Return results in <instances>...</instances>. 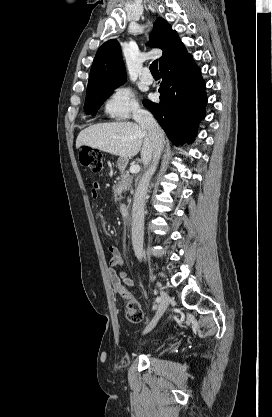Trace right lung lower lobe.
<instances>
[{"mask_svg": "<svg viewBox=\"0 0 272 417\" xmlns=\"http://www.w3.org/2000/svg\"><path fill=\"white\" fill-rule=\"evenodd\" d=\"M160 72V103L143 104L173 143L192 141L207 103L201 70L183 45L160 65Z\"/></svg>", "mask_w": 272, "mask_h": 417, "instance_id": "obj_1", "label": "right lung lower lobe"}]
</instances>
